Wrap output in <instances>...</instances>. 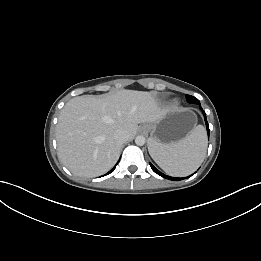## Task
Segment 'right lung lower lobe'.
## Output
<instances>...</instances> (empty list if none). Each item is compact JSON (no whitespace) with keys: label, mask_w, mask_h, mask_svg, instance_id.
Listing matches in <instances>:
<instances>
[{"label":"right lung lower lobe","mask_w":261,"mask_h":261,"mask_svg":"<svg viewBox=\"0 0 261 261\" xmlns=\"http://www.w3.org/2000/svg\"><path fill=\"white\" fill-rule=\"evenodd\" d=\"M115 167H116V166H114V168L111 169L107 174H110L111 172H113V171L115 170ZM107 174H106V175H107Z\"/></svg>","instance_id":"1"}]
</instances>
